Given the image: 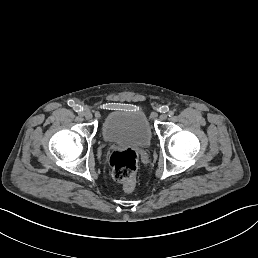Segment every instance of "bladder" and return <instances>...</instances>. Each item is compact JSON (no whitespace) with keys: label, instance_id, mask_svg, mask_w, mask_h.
<instances>
[{"label":"bladder","instance_id":"obj_1","mask_svg":"<svg viewBox=\"0 0 258 258\" xmlns=\"http://www.w3.org/2000/svg\"><path fill=\"white\" fill-rule=\"evenodd\" d=\"M102 136L107 143L144 148L150 144L152 131L143 111L123 107L109 112L105 117Z\"/></svg>","mask_w":258,"mask_h":258}]
</instances>
